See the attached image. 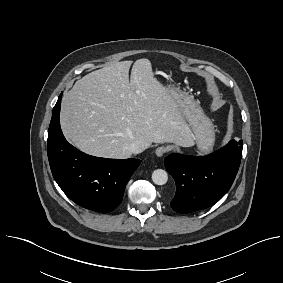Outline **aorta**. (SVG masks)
<instances>
[{
  "label": "aorta",
  "instance_id": "762f6f07",
  "mask_svg": "<svg viewBox=\"0 0 283 283\" xmlns=\"http://www.w3.org/2000/svg\"><path fill=\"white\" fill-rule=\"evenodd\" d=\"M152 180L156 185H164L167 183L168 174L163 169H156L152 173Z\"/></svg>",
  "mask_w": 283,
  "mask_h": 283
}]
</instances>
